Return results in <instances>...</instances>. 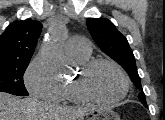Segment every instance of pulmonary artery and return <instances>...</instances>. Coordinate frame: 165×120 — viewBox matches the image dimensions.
<instances>
[{"mask_svg": "<svg viewBox=\"0 0 165 120\" xmlns=\"http://www.w3.org/2000/svg\"><path fill=\"white\" fill-rule=\"evenodd\" d=\"M66 52L70 56L83 57L88 56L91 53V46L87 39L74 36L66 44Z\"/></svg>", "mask_w": 165, "mask_h": 120, "instance_id": "e3ab8cb5", "label": "pulmonary artery"}]
</instances>
